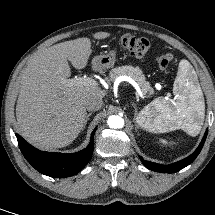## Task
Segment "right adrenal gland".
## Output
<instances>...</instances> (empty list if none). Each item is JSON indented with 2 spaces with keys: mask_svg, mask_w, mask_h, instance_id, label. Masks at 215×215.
<instances>
[{
  "mask_svg": "<svg viewBox=\"0 0 215 215\" xmlns=\"http://www.w3.org/2000/svg\"><path fill=\"white\" fill-rule=\"evenodd\" d=\"M91 115H92V113H88V114L86 115L84 128H85V126H86V124H87V122H88V120H89V117H90Z\"/></svg>",
  "mask_w": 215,
  "mask_h": 215,
  "instance_id": "obj_1",
  "label": "right adrenal gland"
}]
</instances>
